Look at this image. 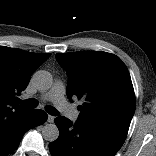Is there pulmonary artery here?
<instances>
[{
    "mask_svg": "<svg viewBox=\"0 0 156 156\" xmlns=\"http://www.w3.org/2000/svg\"><path fill=\"white\" fill-rule=\"evenodd\" d=\"M44 101H51L55 106L62 111L69 119L76 121L78 112L65 99V85L62 81L54 82L51 89L41 96Z\"/></svg>",
    "mask_w": 156,
    "mask_h": 156,
    "instance_id": "1",
    "label": "pulmonary artery"
}]
</instances>
